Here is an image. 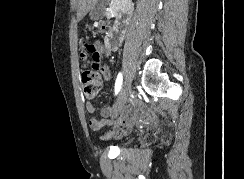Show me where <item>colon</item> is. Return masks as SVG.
I'll return each instance as SVG.
<instances>
[{
    "label": "colon",
    "mask_w": 244,
    "mask_h": 179,
    "mask_svg": "<svg viewBox=\"0 0 244 179\" xmlns=\"http://www.w3.org/2000/svg\"><path fill=\"white\" fill-rule=\"evenodd\" d=\"M107 26V24L101 23L98 26L89 27L88 29L95 28L103 32ZM84 56L85 54H83V72L81 74L82 93L85 97L93 99L97 97L101 89L103 73L99 70L98 62L95 57L88 60L84 58Z\"/></svg>",
    "instance_id": "5ec220e1"
}]
</instances>
